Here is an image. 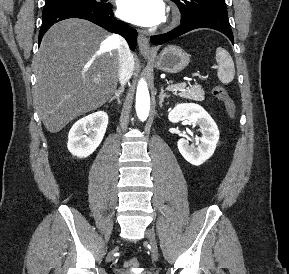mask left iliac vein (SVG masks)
Listing matches in <instances>:
<instances>
[{
  "label": "left iliac vein",
  "instance_id": "left-iliac-vein-1",
  "mask_svg": "<svg viewBox=\"0 0 289 274\" xmlns=\"http://www.w3.org/2000/svg\"><path fill=\"white\" fill-rule=\"evenodd\" d=\"M146 237H147V239L151 245L153 255L157 256V243H156V239H155V235H154L153 231L150 229H147L146 230Z\"/></svg>",
  "mask_w": 289,
  "mask_h": 274
}]
</instances>
